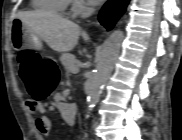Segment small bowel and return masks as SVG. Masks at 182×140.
Wrapping results in <instances>:
<instances>
[{"label": "small bowel", "mask_w": 182, "mask_h": 140, "mask_svg": "<svg viewBox=\"0 0 182 140\" xmlns=\"http://www.w3.org/2000/svg\"><path fill=\"white\" fill-rule=\"evenodd\" d=\"M26 107L30 113L39 114L35 120L37 130L44 136H50L52 132V123L46 115V108L41 102H35L32 99L26 102Z\"/></svg>", "instance_id": "obj_1"}]
</instances>
